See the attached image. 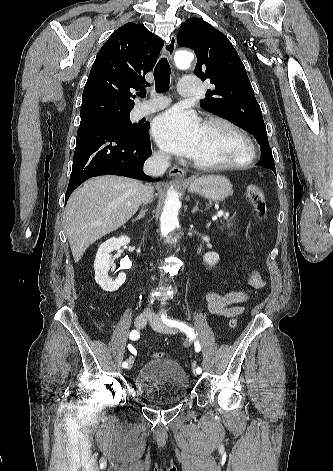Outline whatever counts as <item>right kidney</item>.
I'll use <instances>...</instances> for the list:
<instances>
[{
  "instance_id": "ca27d5eb",
  "label": "right kidney",
  "mask_w": 333,
  "mask_h": 471,
  "mask_svg": "<svg viewBox=\"0 0 333 471\" xmlns=\"http://www.w3.org/2000/svg\"><path fill=\"white\" fill-rule=\"evenodd\" d=\"M129 243L130 238L127 236L113 237L105 241L98 248L94 262L95 281L103 290L114 292L124 284L126 280L125 273H120L115 280H112L108 275L111 266L110 253Z\"/></svg>"
}]
</instances>
